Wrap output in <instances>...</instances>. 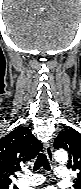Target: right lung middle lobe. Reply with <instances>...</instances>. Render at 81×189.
Segmentation results:
<instances>
[{"mask_svg": "<svg viewBox=\"0 0 81 189\" xmlns=\"http://www.w3.org/2000/svg\"><path fill=\"white\" fill-rule=\"evenodd\" d=\"M12 188L16 189V186L12 187L11 184L0 186V189H12Z\"/></svg>", "mask_w": 81, "mask_h": 189, "instance_id": "dd1d6c3e", "label": "right lung middle lobe"}]
</instances>
